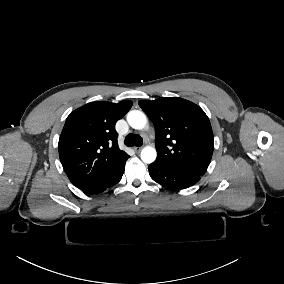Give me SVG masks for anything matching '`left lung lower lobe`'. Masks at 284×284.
<instances>
[{"mask_svg":"<svg viewBox=\"0 0 284 284\" xmlns=\"http://www.w3.org/2000/svg\"><path fill=\"white\" fill-rule=\"evenodd\" d=\"M151 178L157 183L172 189H185L196 184L199 175L179 172L153 162L148 166Z\"/></svg>","mask_w":284,"mask_h":284,"instance_id":"0a47b994","label":"left lung lower lobe"}]
</instances>
